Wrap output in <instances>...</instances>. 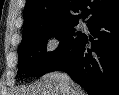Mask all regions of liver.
Masks as SVG:
<instances>
[{
  "mask_svg": "<svg viewBox=\"0 0 119 95\" xmlns=\"http://www.w3.org/2000/svg\"><path fill=\"white\" fill-rule=\"evenodd\" d=\"M66 76L61 72L47 73L34 84L21 89L18 95H86L70 78L67 81Z\"/></svg>",
  "mask_w": 119,
  "mask_h": 95,
  "instance_id": "obj_1",
  "label": "liver"
}]
</instances>
